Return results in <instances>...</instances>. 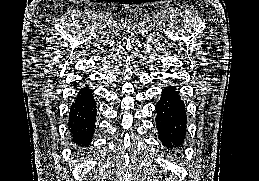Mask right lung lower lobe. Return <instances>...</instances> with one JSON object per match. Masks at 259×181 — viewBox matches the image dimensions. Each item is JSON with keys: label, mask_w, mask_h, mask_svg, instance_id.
<instances>
[{"label": "right lung lower lobe", "mask_w": 259, "mask_h": 181, "mask_svg": "<svg viewBox=\"0 0 259 181\" xmlns=\"http://www.w3.org/2000/svg\"><path fill=\"white\" fill-rule=\"evenodd\" d=\"M92 93L93 89L87 85L80 88L69 113L68 127L73 142L85 147L89 146L95 130L96 102Z\"/></svg>", "instance_id": "obj_1"}]
</instances>
